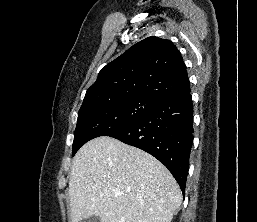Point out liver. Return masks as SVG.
Returning a JSON list of instances; mask_svg holds the SVG:
<instances>
[{
  "mask_svg": "<svg viewBox=\"0 0 257 222\" xmlns=\"http://www.w3.org/2000/svg\"><path fill=\"white\" fill-rule=\"evenodd\" d=\"M71 222L92 215L101 222H171L182 194L168 169L145 151L102 136L73 158Z\"/></svg>",
  "mask_w": 257,
  "mask_h": 222,
  "instance_id": "liver-1",
  "label": "liver"
}]
</instances>
